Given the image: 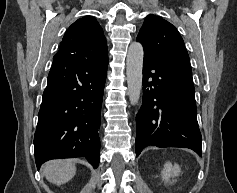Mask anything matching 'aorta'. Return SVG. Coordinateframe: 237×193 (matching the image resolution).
I'll list each match as a JSON object with an SVG mask.
<instances>
[{
  "mask_svg": "<svg viewBox=\"0 0 237 193\" xmlns=\"http://www.w3.org/2000/svg\"><path fill=\"white\" fill-rule=\"evenodd\" d=\"M143 58L144 50L142 44L139 42L131 43L126 60V76L129 100L132 105H136L140 98Z\"/></svg>",
  "mask_w": 237,
  "mask_h": 193,
  "instance_id": "obj_1",
  "label": "aorta"
}]
</instances>
